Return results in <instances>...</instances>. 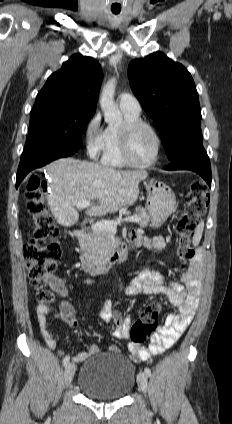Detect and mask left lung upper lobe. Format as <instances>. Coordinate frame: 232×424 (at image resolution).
Masks as SVG:
<instances>
[{"label": "left lung upper lobe", "mask_w": 232, "mask_h": 424, "mask_svg": "<svg viewBox=\"0 0 232 424\" xmlns=\"http://www.w3.org/2000/svg\"><path fill=\"white\" fill-rule=\"evenodd\" d=\"M131 88L146 113L160 127L171 160L189 141L201 136V111L188 70L155 52L128 67Z\"/></svg>", "instance_id": "5c2ea615"}]
</instances>
